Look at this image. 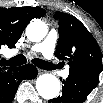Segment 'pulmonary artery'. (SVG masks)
<instances>
[{
    "label": "pulmonary artery",
    "instance_id": "pulmonary-artery-1",
    "mask_svg": "<svg viewBox=\"0 0 103 103\" xmlns=\"http://www.w3.org/2000/svg\"><path fill=\"white\" fill-rule=\"evenodd\" d=\"M57 32L56 30H51L47 37L39 44L31 47V52H40L46 59H51L54 53L55 45L57 42ZM61 76L67 78L69 76V70L65 69L60 72Z\"/></svg>",
    "mask_w": 103,
    "mask_h": 103
}]
</instances>
